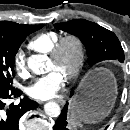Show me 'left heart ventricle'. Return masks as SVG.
Here are the masks:
<instances>
[{"label": "left heart ventricle", "instance_id": "left-heart-ventricle-1", "mask_svg": "<svg viewBox=\"0 0 130 130\" xmlns=\"http://www.w3.org/2000/svg\"><path fill=\"white\" fill-rule=\"evenodd\" d=\"M76 59V49L72 43L65 45L61 59L58 62L49 60V69H57L65 75L73 66Z\"/></svg>", "mask_w": 130, "mask_h": 130}]
</instances>
